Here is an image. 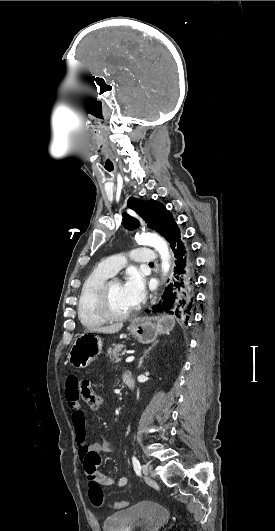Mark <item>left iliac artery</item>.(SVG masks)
I'll return each instance as SVG.
<instances>
[{
    "label": "left iliac artery",
    "instance_id": "44dca946",
    "mask_svg": "<svg viewBox=\"0 0 275 531\" xmlns=\"http://www.w3.org/2000/svg\"><path fill=\"white\" fill-rule=\"evenodd\" d=\"M132 463H133V468H134L135 473H136L138 476H141V466H140V462H139V460H138L135 456L132 457Z\"/></svg>",
    "mask_w": 275,
    "mask_h": 531
}]
</instances>
